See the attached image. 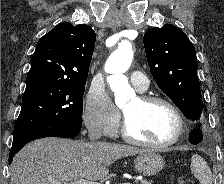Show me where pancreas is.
Segmentation results:
<instances>
[{
  "label": "pancreas",
  "instance_id": "cf45deb5",
  "mask_svg": "<svg viewBox=\"0 0 224 184\" xmlns=\"http://www.w3.org/2000/svg\"><path fill=\"white\" fill-rule=\"evenodd\" d=\"M140 184H151V182L144 179L140 181Z\"/></svg>",
  "mask_w": 224,
  "mask_h": 184
}]
</instances>
